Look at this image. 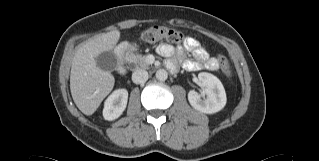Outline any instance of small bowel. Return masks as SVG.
<instances>
[{
	"mask_svg": "<svg viewBox=\"0 0 319 161\" xmlns=\"http://www.w3.org/2000/svg\"><path fill=\"white\" fill-rule=\"evenodd\" d=\"M158 53L164 57H171L177 53V57L180 61H183V66L188 71H196L202 68L210 69V63L215 60V58H209L208 52L200 45V43L193 39L187 38L182 46L176 49L167 43L161 44L157 48ZM186 51L191 52L195 60L186 59ZM167 67L175 71L178 67L176 61L170 59L167 61Z\"/></svg>",
	"mask_w": 319,
	"mask_h": 161,
	"instance_id": "1",
	"label": "small bowel"
}]
</instances>
